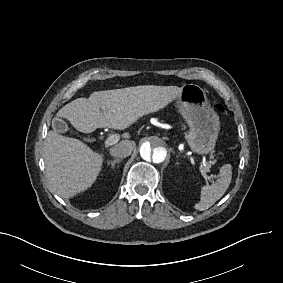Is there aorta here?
Masks as SVG:
<instances>
[{"label":"aorta","instance_id":"1","mask_svg":"<svg viewBox=\"0 0 283 283\" xmlns=\"http://www.w3.org/2000/svg\"><path fill=\"white\" fill-rule=\"evenodd\" d=\"M142 163L152 168L164 165L169 158V147L166 140L158 135L144 137L140 144Z\"/></svg>","mask_w":283,"mask_h":283}]
</instances>
